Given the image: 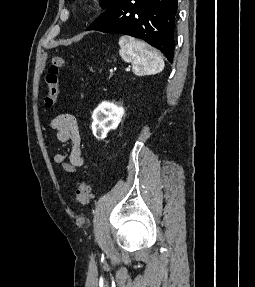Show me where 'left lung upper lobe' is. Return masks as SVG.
<instances>
[{
    "label": "left lung upper lobe",
    "instance_id": "obj_1",
    "mask_svg": "<svg viewBox=\"0 0 255 287\" xmlns=\"http://www.w3.org/2000/svg\"><path fill=\"white\" fill-rule=\"evenodd\" d=\"M114 0H102V3L101 5L104 7V8H107Z\"/></svg>",
    "mask_w": 255,
    "mask_h": 287
}]
</instances>
